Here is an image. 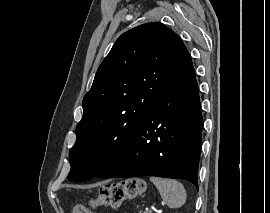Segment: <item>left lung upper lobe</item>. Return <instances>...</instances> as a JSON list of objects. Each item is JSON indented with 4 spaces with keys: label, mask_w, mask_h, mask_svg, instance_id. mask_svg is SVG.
<instances>
[{
    "label": "left lung upper lobe",
    "mask_w": 270,
    "mask_h": 213,
    "mask_svg": "<svg viewBox=\"0 0 270 213\" xmlns=\"http://www.w3.org/2000/svg\"><path fill=\"white\" fill-rule=\"evenodd\" d=\"M190 66L191 56L181 38L162 23L143 24L122 34L84 96L67 178L91 179L95 166L109 162Z\"/></svg>",
    "instance_id": "obj_1"
}]
</instances>
